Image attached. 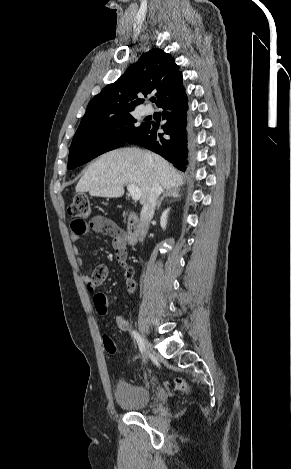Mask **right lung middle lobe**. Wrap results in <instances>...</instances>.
Wrapping results in <instances>:
<instances>
[{"label":"right lung middle lobe","instance_id":"obj_1","mask_svg":"<svg viewBox=\"0 0 291 469\" xmlns=\"http://www.w3.org/2000/svg\"><path fill=\"white\" fill-rule=\"evenodd\" d=\"M132 113L81 121L70 146L68 168H76L91 159L123 145L136 126Z\"/></svg>","mask_w":291,"mask_h":469}]
</instances>
